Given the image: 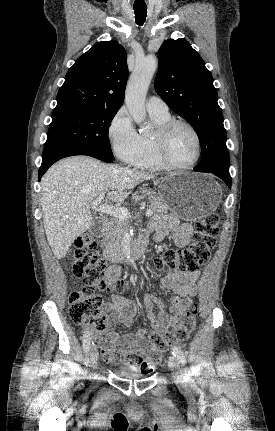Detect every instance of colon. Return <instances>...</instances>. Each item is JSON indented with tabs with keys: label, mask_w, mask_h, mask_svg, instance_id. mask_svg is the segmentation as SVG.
<instances>
[{
	"label": "colon",
	"mask_w": 275,
	"mask_h": 431,
	"mask_svg": "<svg viewBox=\"0 0 275 431\" xmlns=\"http://www.w3.org/2000/svg\"><path fill=\"white\" fill-rule=\"evenodd\" d=\"M219 219L211 214L199 219L195 224V233L189 247L185 249H167L157 258L152 267L156 274L164 270L194 272L206 262L210 250L215 246ZM97 241L92 233L79 236L74 242L72 271L76 277L82 278L84 287L74 291L68 298L71 319L88 331L104 330L107 314L101 295L95 290L125 292L132 289V284L120 280L110 284L105 277L106 261L96 251ZM198 306L191 303L178 324L164 332H152L149 335L150 345L142 355H135L132 360L142 372L153 371L160 363L162 355L172 345L186 340L196 326Z\"/></svg>",
	"instance_id": "1"
}]
</instances>
